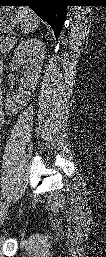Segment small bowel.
<instances>
[{
    "mask_svg": "<svg viewBox=\"0 0 106 257\" xmlns=\"http://www.w3.org/2000/svg\"><path fill=\"white\" fill-rule=\"evenodd\" d=\"M0 119H1V123H2V122H3V116H2V111H1V118H0Z\"/></svg>",
    "mask_w": 106,
    "mask_h": 257,
    "instance_id": "1",
    "label": "small bowel"
}]
</instances>
